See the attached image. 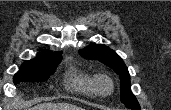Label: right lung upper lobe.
<instances>
[{
  "mask_svg": "<svg viewBox=\"0 0 171 110\" xmlns=\"http://www.w3.org/2000/svg\"><path fill=\"white\" fill-rule=\"evenodd\" d=\"M60 55H61V52L53 53L50 51H44V53H40L38 55V57L36 59H33V60L45 61L48 59H53V58L59 57Z\"/></svg>",
  "mask_w": 171,
  "mask_h": 110,
  "instance_id": "obj_1",
  "label": "right lung upper lobe"
}]
</instances>
